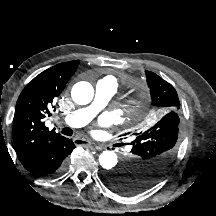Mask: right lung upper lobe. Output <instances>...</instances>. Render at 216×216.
<instances>
[{
	"label": "right lung upper lobe",
	"instance_id": "obj_1",
	"mask_svg": "<svg viewBox=\"0 0 216 216\" xmlns=\"http://www.w3.org/2000/svg\"><path fill=\"white\" fill-rule=\"evenodd\" d=\"M78 64V60L57 64L37 75L21 92L13 119V138L22 164L61 136L45 126L44 118L50 115V107L64 90Z\"/></svg>",
	"mask_w": 216,
	"mask_h": 216
}]
</instances>
